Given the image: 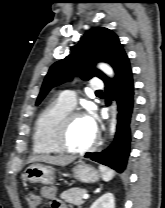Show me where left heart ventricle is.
<instances>
[{"instance_id":"left-heart-ventricle-1","label":"left heart ventricle","mask_w":165,"mask_h":208,"mask_svg":"<svg viewBox=\"0 0 165 208\" xmlns=\"http://www.w3.org/2000/svg\"><path fill=\"white\" fill-rule=\"evenodd\" d=\"M95 134L89 127L86 117L75 118L65 136V142L71 149H83L89 146Z\"/></svg>"}]
</instances>
